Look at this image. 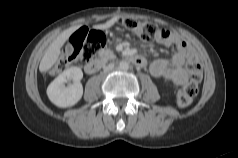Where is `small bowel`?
Segmentation results:
<instances>
[{"mask_svg": "<svg viewBox=\"0 0 238 158\" xmlns=\"http://www.w3.org/2000/svg\"><path fill=\"white\" fill-rule=\"evenodd\" d=\"M158 43L165 46H174L175 52L170 59H157L150 65V73L158 79L174 85H183L188 80L184 69L187 59L194 55L193 48L179 35L170 33L168 37L159 39Z\"/></svg>", "mask_w": 238, "mask_h": 158, "instance_id": "c3829d8e", "label": "small bowel"}]
</instances>
